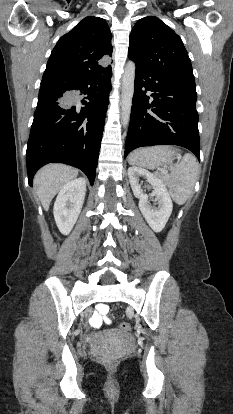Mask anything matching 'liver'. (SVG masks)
Segmentation results:
<instances>
[{
    "label": "liver",
    "instance_id": "obj_1",
    "mask_svg": "<svg viewBox=\"0 0 233 414\" xmlns=\"http://www.w3.org/2000/svg\"><path fill=\"white\" fill-rule=\"evenodd\" d=\"M77 175V169L64 164H49L36 173L33 184L45 210L49 209L52 199L59 190Z\"/></svg>",
    "mask_w": 233,
    "mask_h": 414
}]
</instances>
